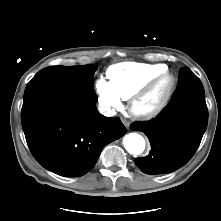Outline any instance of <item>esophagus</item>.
I'll list each match as a JSON object with an SVG mask.
<instances>
[{
	"label": "esophagus",
	"mask_w": 221,
	"mask_h": 221,
	"mask_svg": "<svg viewBox=\"0 0 221 221\" xmlns=\"http://www.w3.org/2000/svg\"><path fill=\"white\" fill-rule=\"evenodd\" d=\"M122 122H123L124 126L128 129L130 126L129 121H127L126 119H122Z\"/></svg>",
	"instance_id": "obj_1"
}]
</instances>
